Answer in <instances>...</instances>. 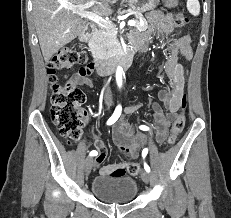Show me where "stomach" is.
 Masks as SVG:
<instances>
[{"instance_id": "0dacf381", "label": "stomach", "mask_w": 231, "mask_h": 218, "mask_svg": "<svg viewBox=\"0 0 231 218\" xmlns=\"http://www.w3.org/2000/svg\"><path fill=\"white\" fill-rule=\"evenodd\" d=\"M158 3L159 0H129L130 7L139 13L153 10Z\"/></svg>"}]
</instances>
